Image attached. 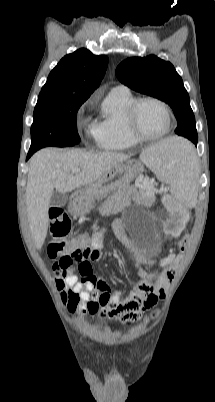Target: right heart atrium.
Segmentation results:
<instances>
[{"mask_svg":"<svg viewBox=\"0 0 215 402\" xmlns=\"http://www.w3.org/2000/svg\"><path fill=\"white\" fill-rule=\"evenodd\" d=\"M95 130H96V127H95V124H94V125L88 126L85 129V132H86L87 135L95 137Z\"/></svg>","mask_w":215,"mask_h":402,"instance_id":"1","label":"right heart atrium"}]
</instances>
